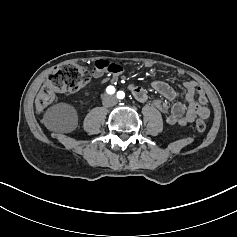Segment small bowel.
<instances>
[{
    "label": "small bowel",
    "instance_id": "c3829d8e",
    "mask_svg": "<svg viewBox=\"0 0 237 237\" xmlns=\"http://www.w3.org/2000/svg\"><path fill=\"white\" fill-rule=\"evenodd\" d=\"M151 86L164 97V100L155 99L152 103L155 108L166 114L168 124L187 126L197 118H208L210 111L207 107V97L203 88L197 82L193 80L184 82L186 100L188 103L187 108L179 102L173 105L168 103L179 96V93L168 83L161 80H153ZM128 88L134 98L139 102H146L149 99L147 91L140 85L131 83Z\"/></svg>",
    "mask_w": 237,
    "mask_h": 237
}]
</instances>
